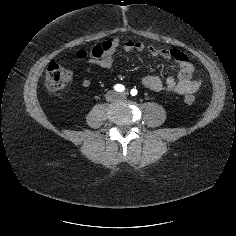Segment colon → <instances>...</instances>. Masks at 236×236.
I'll return each instance as SVG.
<instances>
[{
    "label": "colon",
    "mask_w": 236,
    "mask_h": 236,
    "mask_svg": "<svg viewBox=\"0 0 236 236\" xmlns=\"http://www.w3.org/2000/svg\"><path fill=\"white\" fill-rule=\"evenodd\" d=\"M112 47L111 41H104L101 44L94 46L90 51L79 50L77 57L85 60L89 58L100 59L107 51ZM72 80V73L58 62H52L49 64L46 76L45 84L50 92H57L66 87ZM185 101L188 104L194 102V97L187 95Z\"/></svg>",
    "instance_id": "1"
}]
</instances>
